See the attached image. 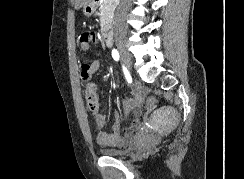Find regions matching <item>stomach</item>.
Listing matches in <instances>:
<instances>
[{
  "instance_id": "stomach-1",
  "label": "stomach",
  "mask_w": 244,
  "mask_h": 179,
  "mask_svg": "<svg viewBox=\"0 0 244 179\" xmlns=\"http://www.w3.org/2000/svg\"><path fill=\"white\" fill-rule=\"evenodd\" d=\"M96 8H95V4L93 2V0H90V2H88V4H84L83 6V12L85 14V16H92V14H94Z\"/></svg>"
}]
</instances>
